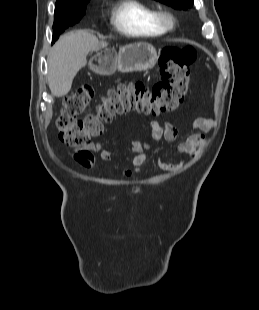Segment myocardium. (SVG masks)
Segmentation results:
<instances>
[{
    "label": "myocardium",
    "instance_id": "f54148a6",
    "mask_svg": "<svg viewBox=\"0 0 259 310\" xmlns=\"http://www.w3.org/2000/svg\"><path fill=\"white\" fill-rule=\"evenodd\" d=\"M155 19L156 22L166 31L173 29L176 25L175 17L165 10L156 11Z\"/></svg>",
    "mask_w": 259,
    "mask_h": 310
}]
</instances>
